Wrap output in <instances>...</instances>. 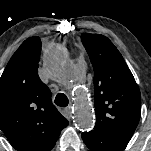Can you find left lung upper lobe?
I'll list each match as a JSON object with an SVG mask.
<instances>
[{
  "label": "left lung upper lobe",
  "mask_w": 151,
  "mask_h": 151,
  "mask_svg": "<svg viewBox=\"0 0 151 151\" xmlns=\"http://www.w3.org/2000/svg\"><path fill=\"white\" fill-rule=\"evenodd\" d=\"M81 40L94 69L93 131L131 137L141 111L140 90L131 71L107 37L83 33Z\"/></svg>",
  "instance_id": "1"
}]
</instances>
